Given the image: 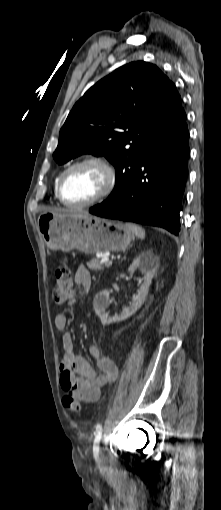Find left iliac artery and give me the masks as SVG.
Returning <instances> with one entry per match:
<instances>
[{
	"instance_id": "44dca946",
	"label": "left iliac artery",
	"mask_w": 221,
	"mask_h": 510,
	"mask_svg": "<svg viewBox=\"0 0 221 510\" xmlns=\"http://www.w3.org/2000/svg\"><path fill=\"white\" fill-rule=\"evenodd\" d=\"M94 435H95L94 450L98 451L99 450L98 444H99L101 436H102V425L101 424L96 425Z\"/></svg>"
}]
</instances>
